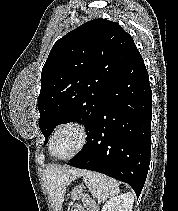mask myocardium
Wrapping results in <instances>:
<instances>
[{
  "label": "myocardium",
  "mask_w": 178,
  "mask_h": 211,
  "mask_svg": "<svg viewBox=\"0 0 178 211\" xmlns=\"http://www.w3.org/2000/svg\"><path fill=\"white\" fill-rule=\"evenodd\" d=\"M68 127L74 128L75 130L78 131V133L80 135V142H79L78 147L71 154H69L67 156H59L55 151V140H56L58 133L62 129L68 128ZM87 142H88V130H87L86 126L84 124L80 123V122H77V121H67V122H64L61 125H59L55 129V131L52 135V139H51V143H50L51 154L56 159H59V160L70 159V158L75 157L79 153H81L85 149Z\"/></svg>",
  "instance_id": "f54148a6"
}]
</instances>
